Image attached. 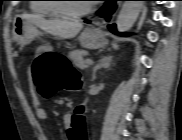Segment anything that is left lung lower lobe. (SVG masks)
Instances as JSON below:
<instances>
[{
  "label": "left lung lower lobe",
  "mask_w": 182,
  "mask_h": 140,
  "mask_svg": "<svg viewBox=\"0 0 182 140\" xmlns=\"http://www.w3.org/2000/svg\"><path fill=\"white\" fill-rule=\"evenodd\" d=\"M117 0H106L104 6L101 8V10L99 11V14L102 16V17H106L107 20L110 19V15L114 12V9L116 8L115 7V3H116ZM86 23H89L90 21L86 20L85 21ZM108 29L115 33V34H118L117 31H116V26L115 24H112V25H108ZM120 35H123V36H127L128 34H120Z\"/></svg>",
  "instance_id": "obj_1"
}]
</instances>
